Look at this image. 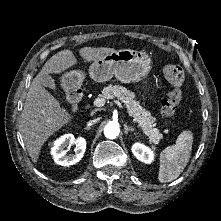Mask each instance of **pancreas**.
<instances>
[{"instance_id": "pancreas-1", "label": "pancreas", "mask_w": 221, "mask_h": 221, "mask_svg": "<svg viewBox=\"0 0 221 221\" xmlns=\"http://www.w3.org/2000/svg\"><path fill=\"white\" fill-rule=\"evenodd\" d=\"M99 96L105 99L117 98L123 102L129 115L133 117V121L138 123V126L149 137L150 143L158 144L162 139L163 135L157 128H154L155 123L150 112L143 109L133 92L120 85H108Z\"/></svg>"}]
</instances>
